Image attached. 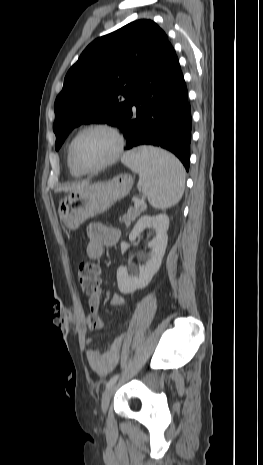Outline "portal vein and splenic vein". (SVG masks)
<instances>
[{"label":"portal vein and splenic vein","mask_w":263,"mask_h":465,"mask_svg":"<svg viewBox=\"0 0 263 465\" xmlns=\"http://www.w3.org/2000/svg\"><path fill=\"white\" fill-rule=\"evenodd\" d=\"M142 203H143V201L140 200L139 198H137V199L135 200V206H139V205H141Z\"/></svg>","instance_id":"1"}]
</instances>
